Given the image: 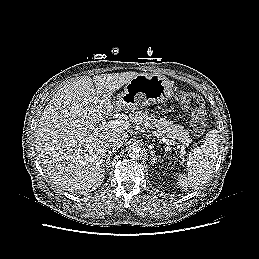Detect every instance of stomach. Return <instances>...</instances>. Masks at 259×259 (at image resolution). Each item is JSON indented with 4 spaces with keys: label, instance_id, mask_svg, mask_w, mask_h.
<instances>
[{
    "label": "stomach",
    "instance_id": "1",
    "mask_svg": "<svg viewBox=\"0 0 259 259\" xmlns=\"http://www.w3.org/2000/svg\"><path fill=\"white\" fill-rule=\"evenodd\" d=\"M171 82L164 76L141 73L128 82L115 103L123 109L139 110L172 97Z\"/></svg>",
    "mask_w": 259,
    "mask_h": 259
}]
</instances>
